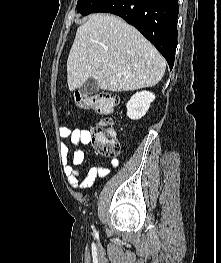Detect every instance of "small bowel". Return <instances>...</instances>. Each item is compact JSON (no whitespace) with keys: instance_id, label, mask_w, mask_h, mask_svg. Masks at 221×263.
I'll list each match as a JSON object with an SVG mask.
<instances>
[{"instance_id":"small-bowel-1","label":"small bowel","mask_w":221,"mask_h":263,"mask_svg":"<svg viewBox=\"0 0 221 263\" xmlns=\"http://www.w3.org/2000/svg\"><path fill=\"white\" fill-rule=\"evenodd\" d=\"M59 135L62 139H69L70 143L76 147L72 153L71 159L69 158V146L62 143L60 147L61 155L64 158V171L71 187L82 190L88 189L97 178L106 177L110 173L109 168L106 167H91L81 180L82 175L80 171L76 169V166L83 163L85 153L78 148V146L89 145L91 142V134L86 129L61 127ZM109 165L111 168L115 169L119 166V161L117 159H112Z\"/></svg>"}]
</instances>
